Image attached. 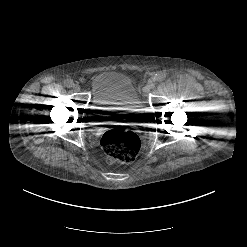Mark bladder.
<instances>
[{
    "instance_id": "31cf9c89",
    "label": "bladder",
    "mask_w": 247,
    "mask_h": 247,
    "mask_svg": "<svg viewBox=\"0 0 247 247\" xmlns=\"http://www.w3.org/2000/svg\"><path fill=\"white\" fill-rule=\"evenodd\" d=\"M90 89V113L94 122L133 121L140 117L139 94L128 76L118 72L96 74Z\"/></svg>"
}]
</instances>
